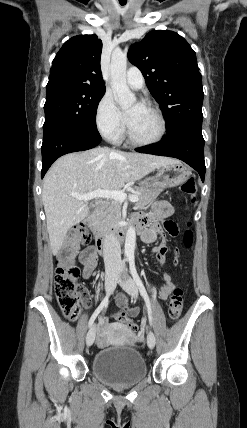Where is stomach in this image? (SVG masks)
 Listing matches in <instances>:
<instances>
[{"label":"stomach","mask_w":247,"mask_h":428,"mask_svg":"<svg viewBox=\"0 0 247 428\" xmlns=\"http://www.w3.org/2000/svg\"><path fill=\"white\" fill-rule=\"evenodd\" d=\"M190 175V169L182 162L167 164L159 167L155 175L144 180L142 186L159 189L176 187L184 183Z\"/></svg>","instance_id":"0dacf381"}]
</instances>
